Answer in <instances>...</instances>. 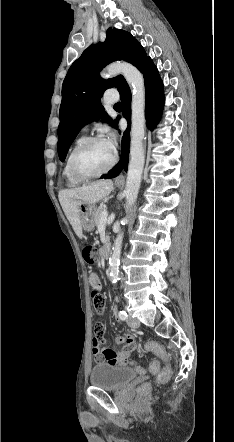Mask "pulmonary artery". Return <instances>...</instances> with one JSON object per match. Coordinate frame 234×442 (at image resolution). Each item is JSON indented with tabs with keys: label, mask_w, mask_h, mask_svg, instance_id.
<instances>
[{
	"label": "pulmonary artery",
	"mask_w": 234,
	"mask_h": 442,
	"mask_svg": "<svg viewBox=\"0 0 234 442\" xmlns=\"http://www.w3.org/2000/svg\"><path fill=\"white\" fill-rule=\"evenodd\" d=\"M117 100H118V96L115 93H109L104 96V102L106 104H113V103L117 102ZM86 129H87V125L83 127V130H86Z\"/></svg>",
	"instance_id": "1"
}]
</instances>
